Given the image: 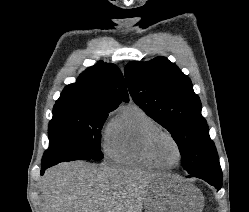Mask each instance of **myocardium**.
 Here are the masks:
<instances>
[{
	"mask_svg": "<svg viewBox=\"0 0 249 212\" xmlns=\"http://www.w3.org/2000/svg\"><path fill=\"white\" fill-rule=\"evenodd\" d=\"M162 137H166L168 139H170L173 144L175 145L177 152H178V160L175 164H166L163 163L157 156L156 151H155V145L156 142L158 141V139L162 138ZM145 148H146V153L148 155V157L150 158V160L158 167L160 168H164V169H173L176 168L177 166L180 165V163L182 162L183 159V150L182 147L179 143V141L176 139V137L171 134L170 132L163 130V129H156L154 131H152L147 139H146V143H145Z\"/></svg>",
	"mask_w": 249,
	"mask_h": 212,
	"instance_id": "obj_1",
	"label": "myocardium"
}]
</instances>
